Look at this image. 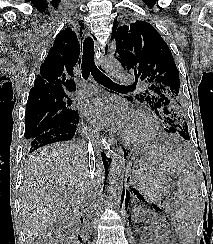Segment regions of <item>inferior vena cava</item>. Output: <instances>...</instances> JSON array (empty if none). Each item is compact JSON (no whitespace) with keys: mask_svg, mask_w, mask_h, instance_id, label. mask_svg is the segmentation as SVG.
<instances>
[{"mask_svg":"<svg viewBox=\"0 0 213 244\" xmlns=\"http://www.w3.org/2000/svg\"><path fill=\"white\" fill-rule=\"evenodd\" d=\"M86 141L88 140L87 138L85 139ZM88 153H89V158H88V168L90 172V179L92 182L91 186L93 189H97V184L98 181L96 180L95 176V158H94V151L91 149V147L88 146ZM83 208V213L87 218H90L91 216L94 215L95 210H96V195L93 190H91L85 197V200L82 205Z\"/></svg>","mask_w":213,"mask_h":244,"instance_id":"1","label":"inferior vena cava"}]
</instances>
